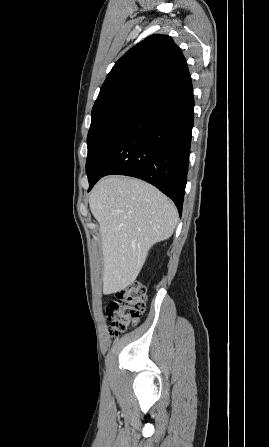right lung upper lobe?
Instances as JSON below:
<instances>
[{"mask_svg":"<svg viewBox=\"0 0 269 447\" xmlns=\"http://www.w3.org/2000/svg\"><path fill=\"white\" fill-rule=\"evenodd\" d=\"M187 74L186 60L173 39L152 35L116 62L101 87L92 118L122 106H143Z\"/></svg>","mask_w":269,"mask_h":447,"instance_id":"obj_1","label":"right lung upper lobe"}]
</instances>
